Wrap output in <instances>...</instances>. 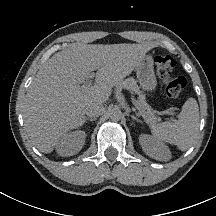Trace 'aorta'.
<instances>
[{
	"instance_id": "aorta-1",
	"label": "aorta",
	"mask_w": 216,
	"mask_h": 216,
	"mask_svg": "<svg viewBox=\"0 0 216 216\" xmlns=\"http://www.w3.org/2000/svg\"><path fill=\"white\" fill-rule=\"evenodd\" d=\"M110 118L113 121H119L122 118V112L119 108H113L110 113Z\"/></svg>"
}]
</instances>
